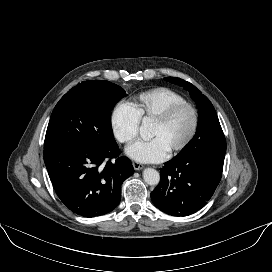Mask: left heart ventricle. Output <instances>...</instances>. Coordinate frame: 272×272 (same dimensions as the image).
<instances>
[{
	"mask_svg": "<svg viewBox=\"0 0 272 272\" xmlns=\"http://www.w3.org/2000/svg\"><path fill=\"white\" fill-rule=\"evenodd\" d=\"M191 126L192 115L189 110L184 109L165 124L153 122L150 136L160 138L169 152L187 137Z\"/></svg>",
	"mask_w": 272,
	"mask_h": 272,
	"instance_id": "obj_1",
	"label": "left heart ventricle"
}]
</instances>
